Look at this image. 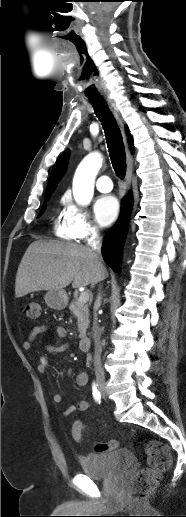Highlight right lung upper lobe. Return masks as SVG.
Listing matches in <instances>:
<instances>
[{"label":"right lung upper lobe","instance_id":"right-lung-upper-lobe-1","mask_svg":"<svg viewBox=\"0 0 186 517\" xmlns=\"http://www.w3.org/2000/svg\"><path fill=\"white\" fill-rule=\"evenodd\" d=\"M126 129H127V133H129L127 126H126ZM129 142H130L131 150L133 151L134 150L133 139L130 138ZM68 156H69V151H65L56 161V163L52 169L50 179L48 181L46 193L53 192L54 189L56 188L57 182L60 180V178L62 177V175L64 174V172L66 170L67 163H68Z\"/></svg>","mask_w":186,"mask_h":517}]
</instances>
